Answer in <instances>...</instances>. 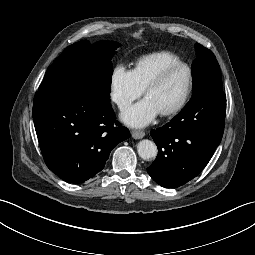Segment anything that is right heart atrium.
Returning <instances> with one entry per match:
<instances>
[{
    "label": "right heart atrium",
    "mask_w": 255,
    "mask_h": 255,
    "mask_svg": "<svg viewBox=\"0 0 255 255\" xmlns=\"http://www.w3.org/2000/svg\"><path fill=\"white\" fill-rule=\"evenodd\" d=\"M143 89L132 70H128L123 65H118L113 70L110 81V96L121 110H125L137 99Z\"/></svg>",
    "instance_id": "right-heart-atrium-1"
}]
</instances>
